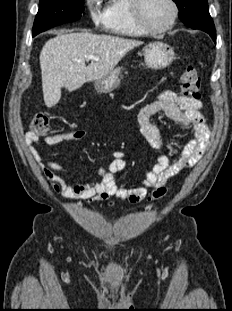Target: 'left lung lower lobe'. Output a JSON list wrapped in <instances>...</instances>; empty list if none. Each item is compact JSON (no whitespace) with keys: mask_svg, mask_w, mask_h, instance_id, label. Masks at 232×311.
Masks as SVG:
<instances>
[{"mask_svg":"<svg viewBox=\"0 0 232 311\" xmlns=\"http://www.w3.org/2000/svg\"><path fill=\"white\" fill-rule=\"evenodd\" d=\"M193 29L203 30L208 33L213 41L216 43V31L213 20L209 14V11L201 15L200 17L196 18L193 22L187 25Z\"/></svg>","mask_w":232,"mask_h":311,"instance_id":"1","label":"left lung lower lobe"}]
</instances>
